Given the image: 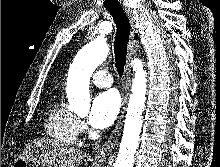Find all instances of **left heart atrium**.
Listing matches in <instances>:
<instances>
[{"instance_id": "left-heart-atrium-1", "label": "left heart atrium", "mask_w": 220, "mask_h": 167, "mask_svg": "<svg viewBox=\"0 0 220 167\" xmlns=\"http://www.w3.org/2000/svg\"><path fill=\"white\" fill-rule=\"evenodd\" d=\"M121 105L119 94L114 90L100 93L93 101L89 122L96 129L109 127L117 118Z\"/></svg>"}]
</instances>
